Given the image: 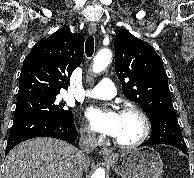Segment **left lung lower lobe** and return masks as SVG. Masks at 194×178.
<instances>
[{"label":"left lung lower lobe","instance_id":"0a47b994","mask_svg":"<svg viewBox=\"0 0 194 178\" xmlns=\"http://www.w3.org/2000/svg\"><path fill=\"white\" fill-rule=\"evenodd\" d=\"M149 119L152 126V134L140 146L167 144L180 149L188 155V149L182 138L175 111L156 112Z\"/></svg>","mask_w":194,"mask_h":178}]
</instances>
